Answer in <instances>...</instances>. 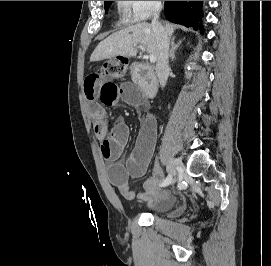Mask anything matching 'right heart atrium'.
Here are the masks:
<instances>
[{"label": "right heart atrium", "instance_id": "d8ad5b80", "mask_svg": "<svg viewBox=\"0 0 271 266\" xmlns=\"http://www.w3.org/2000/svg\"><path fill=\"white\" fill-rule=\"evenodd\" d=\"M129 23H143L161 8V1H119Z\"/></svg>", "mask_w": 271, "mask_h": 266}]
</instances>
